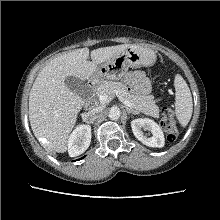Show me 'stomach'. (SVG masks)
<instances>
[{
	"mask_svg": "<svg viewBox=\"0 0 220 220\" xmlns=\"http://www.w3.org/2000/svg\"><path fill=\"white\" fill-rule=\"evenodd\" d=\"M156 61L154 50L140 45H133L126 48L107 62L99 65L91 77L94 85H100L106 80H120L127 74L128 68H140L151 66Z\"/></svg>",
	"mask_w": 220,
	"mask_h": 220,
	"instance_id": "1",
	"label": "stomach"
}]
</instances>
